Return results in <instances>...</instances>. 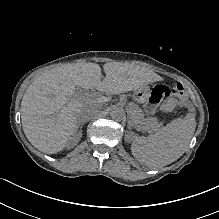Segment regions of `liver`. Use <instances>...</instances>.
Returning a JSON list of instances; mask_svg holds the SVG:
<instances>
[{
    "mask_svg": "<svg viewBox=\"0 0 219 219\" xmlns=\"http://www.w3.org/2000/svg\"><path fill=\"white\" fill-rule=\"evenodd\" d=\"M66 64L39 74L28 86L21 101L22 127L28 141L46 154L63 150L72 139L82 112L94 117L104 98L91 92L75 97L76 87L85 93L94 89L121 94L151 81L150 72L138 65L106 63ZM85 115V114H83Z\"/></svg>",
    "mask_w": 219,
    "mask_h": 219,
    "instance_id": "1",
    "label": "liver"
}]
</instances>
